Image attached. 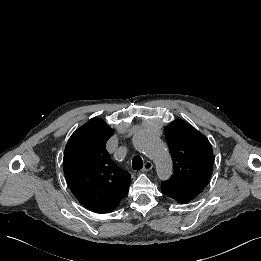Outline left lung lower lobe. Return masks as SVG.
<instances>
[{
	"label": "left lung lower lobe",
	"instance_id": "left-lung-lower-lobe-1",
	"mask_svg": "<svg viewBox=\"0 0 261 261\" xmlns=\"http://www.w3.org/2000/svg\"><path fill=\"white\" fill-rule=\"evenodd\" d=\"M162 193L175 199L176 201H178L179 203H188L189 201H191L192 199L189 198V197H186L184 195H180V194H177V193H174L172 191H169V190H166L164 188H162Z\"/></svg>",
	"mask_w": 261,
	"mask_h": 261
}]
</instances>
